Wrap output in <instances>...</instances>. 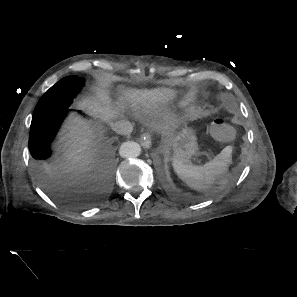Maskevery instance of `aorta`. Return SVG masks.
I'll list each match as a JSON object with an SVG mask.
<instances>
[{
	"label": "aorta",
	"mask_w": 297,
	"mask_h": 297,
	"mask_svg": "<svg viewBox=\"0 0 297 297\" xmlns=\"http://www.w3.org/2000/svg\"><path fill=\"white\" fill-rule=\"evenodd\" d=\"M141 153V147L137 142L127 141L124 142L120 149L119 154L123 158H135Z\"/></svg>",
	"instance_id": "aorta-1"
}]
</instances>
